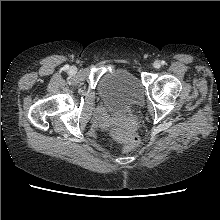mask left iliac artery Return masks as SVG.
Segmentation results:
<instances>
[{"label": "left iliac artery", "mask_w": 220, "mask_h": 220, "mask_svg": "<svg viewBox=\"0 0 220 220\" xmlns=\"http://www.w3.org/2000/svg\"><path fill=\"white\" fill-rule=\"evenodd\" d=\"M161 64L164 65V64H165V61H161Z\"/></svg>", "instance_id": "left-iliac-artery-1"}]
</instances>
